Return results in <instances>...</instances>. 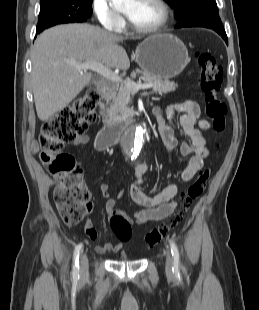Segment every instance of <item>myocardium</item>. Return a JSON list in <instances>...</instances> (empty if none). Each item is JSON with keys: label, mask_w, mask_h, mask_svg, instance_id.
<instances>
[{"label": "myocardium", "mask_w": 259, "mask_h": 310, "mask_svg": "<svg viewBox=\"0 0 259 310\" xmlns=\"http://www.w3.org/2000/svg\"><path fill=\"white\" fill-rule=\"evenodd\" d=\"M162 10V18L159 23L152 27L142 28L136 26L132 21L127 17L129 27L139 34H152L161 31L163 28L167 26L170 21V8L165 0H154Z\"/></svg>", "instance_id": "f54148a6"}]
</instances>
